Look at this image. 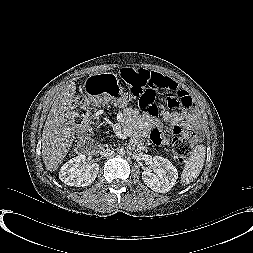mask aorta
I'll list each match as a JSON object with an SVG mask.
<instances>
[{
  "label": "aorta",
  "instance_id": "obj_1",
  "mask_svg": "<svg viewBox=\"0 0 253 253\" xmlns=\"http://www.w3.org/2000/svg\"><path fill=\"white\" fill-rule=\"evenodd\" d=\"M126 153V148L125 147H120L119 149H118V154L119 155H124Z\"/></svg>",
  "mask_w": 253,
  "mask_h": 253
}]
</instances>
